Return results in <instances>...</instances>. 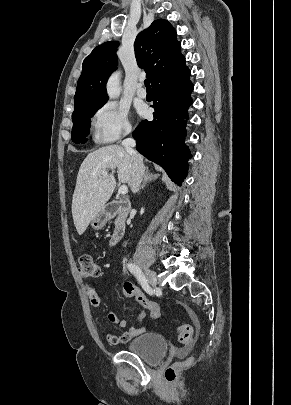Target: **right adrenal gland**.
<instances>
[{"label": "right adrenal gland", "instance_id": "2a0ac1e0", "mask_svg": "<svg viewBox=\"0 0 291 405\" xmlns=\"http://www.w3.org/2000/svg\"><path fill=\"white\" fill-rule=\"evenodd\" d=\"M158 176H159V174L150 173L148 167H146L144 180H143V183H142L140 189H141V190L144 189L145 186H146V184H147V182H150V181H152V180L157 179Z\"/></svg>", "mask_w": 291, "mask_h": 405}]
</instances>
